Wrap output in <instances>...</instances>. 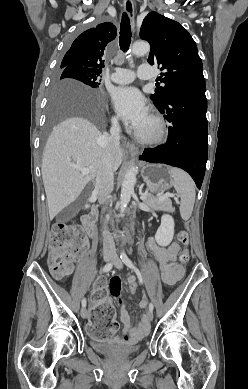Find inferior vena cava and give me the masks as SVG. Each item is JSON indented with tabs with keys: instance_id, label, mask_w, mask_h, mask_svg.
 Listing matches in <instances>:
<instances>
[{
	"instance_id": "inferior-vena-cava-1",
	"label": "inferior vena cava",
	"mask_w": 248,
	"mask_h": 389,
	"mask_svg": "<svg viewBox=\"0 0 248 389\" xmlns=\"http://www.w3.org/2000/svg\"><path fill=\"white\" fill-rule=\"evenodd\" d=\"M121 129L118 120H112L110 136L103 143V155L96 175L94 194L100 203H104L114 187V160L120 150ZM103 249L106 252L116 253L114 241L105 225L103 231Z\"/></svg>"
}]
</instances>
